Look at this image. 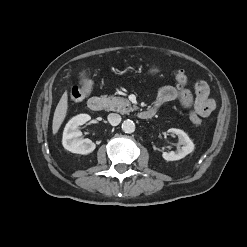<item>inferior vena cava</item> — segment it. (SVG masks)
I'll return each instance as SVG.
<instances>
[{
    "instance_id": "1",
    "label": "inferior vena cava",
    "mask_w": 247,
    "mask_h": 247,
    "mask_svg": "<svg viewBox=\"0 0 247 247\" xmlns=\"http://www.w3.org/2000/svg\"><path fill=\"white\" fill-rule=\"evenodd\" d=\"M107 118L112 126H117L121 122V116L116 113H110Z\"/></svg>"
}]
</instances>
